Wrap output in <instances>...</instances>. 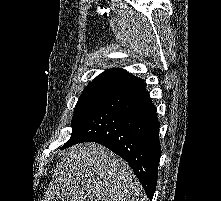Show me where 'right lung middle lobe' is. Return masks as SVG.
Segmentation results:
<instances>
[{"label": "right lung middle lobe", "instance_id": "right-lung-middle-lobe-1", "mask_svg": "<svg viewBox=\"0 0 221 201\" xmlns=\"http://www.w3.org/2000/svg\"><path fill=\"white\" fill-rule=\"evenodd\" d=\"M117 91L118 89L108 87L85 88L75 106L71 137Z\"/></svg>", "mask_w": 221, "mask_h": 201}]
</instances>
